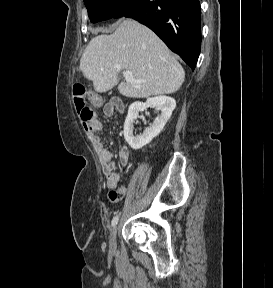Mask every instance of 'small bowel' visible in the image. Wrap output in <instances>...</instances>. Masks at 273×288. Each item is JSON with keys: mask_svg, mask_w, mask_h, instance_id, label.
<instances>
[{"mask_svg": "<svg viewBox=\"0 0 273 288\" xmlns=\"http://www.w3.org/2000/svg\"><path fill=\"white\" fill-rule=\"evenodd\" d=\"M123 111V104L119 101H111L104 106V114L112 117L116 112ZM104 129V125L98 119H94L87 128L93 146L100 158L102 171L105 175V183L109 189L108 197L110 201L119 202L125 193V187L120 186V173L115 170V162L112 152H110L101 142L98 133ZM122 164H127L130 159V153L127 147L123 146L119 152Z\"/></svg>", "mask_w": 273, "mask_h": 288, "instance_id": "obj_1", "label": "small bowel"}]
</instances>
